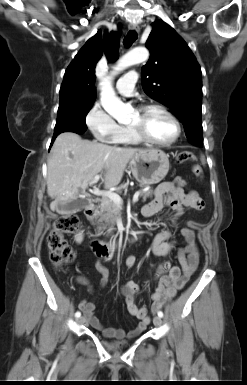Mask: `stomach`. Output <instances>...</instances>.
Listing matches in <instances>:
<instances>
[{"instance_id":"0dacf381","label":"stomach","mask_w":247,"mask_h":385,"mask_svg":"<svg viewBox=\"0 0 247 385\" xmlns=\"http://www.w3.org/2000/svg\"><path fill=\"white\" fill-rule=\"evenodd\" d=\"M130 169L141 185L157 184L169 171L168 155L159 149L141 150L131 158Z\"/></svg>"}]
</instances>
